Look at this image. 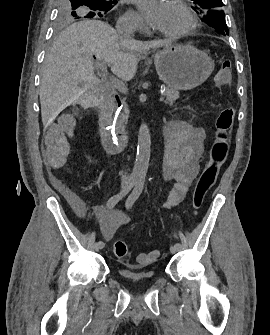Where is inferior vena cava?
I'll use <instances>...</instances> for the list:
<instances>
[{"label":"inferior vena cava","instance_id":"inferior-vena-cava-1","mask_svg":"<svg viewBox=\"0 0 270 335\" xmlns=\"http://www.w3.org/2000/svg\"><path fill=\"white\" fill-rule=\"evenodd\" d=\"M115 28L117 30L118 36H120L122 40H131V36L134 34V28H131L130 22L127 20V18H119ZM120 175L121 183L125 185L129 179V175H127L126 171H120Z\"/></svg>","mask_w":270,"mask_h":335}]
</instances>
